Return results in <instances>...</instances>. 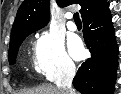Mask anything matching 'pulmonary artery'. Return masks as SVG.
<instances>
[{
	"mask_svg": "<svg viewBox=\"0 0 121 94\" xmlns=\"http://www.w3.org/2000/svg\"><path fill=\"white\" fill-rule=\"evenodd\" d=\"M67 18H68V22H67V28L70 31H75L77 29L76 24L74 23V21L72 20V14L68 13L67 14Z\"/></svg>",
	"mask_w": 121,
	"mask_h": 94,
	"instance_id": "e3ab8cb5",
	"label": "pulmonary artery"
}]
</instances>
